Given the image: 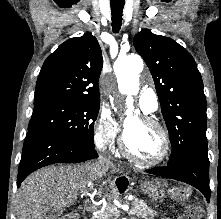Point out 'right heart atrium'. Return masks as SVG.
Wrapping results in <instances>:
<instances>
[{"label": "right heart atrium", "mask_w": 221, "mask_h": 219, "mask_svg": "<svg viewBox=\"0 0 221 219\" xmlns=\"http://www.w3.org/2000/svg\"><path fill=\"white\" fill-rule=\"evenodd\" d=\"M118 133V124L108 110H101L94 122V141L101 151H111Z\"/></svg>", "instance_id": "obj_1"}]
</instances>
